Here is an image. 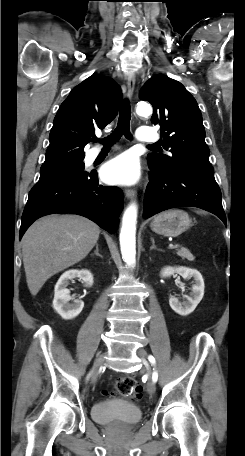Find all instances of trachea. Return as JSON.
Listing matches in <instances>:
<instances>
[{
	"mask_svg": "<svg viewBox=\"0 0 245 456\" xmlns=\"http://www.w3.org/2000/svg\"><path fill=\"white\" fill-rule=\"evenodd\" d=\"M130 119H131L130 104H129V101L127 99H125L120 108L117 127L112 132L111 135H109L107 138H105L103 140V145L106 146V145H112V144L116 143L122 135L131 139L132 136L130 134ZM92 141L96 142L97 138H93Z\"/></svg>",
	"mask_w": 245,
	"mask_h": 456,
	"instance_id": "obj_1",
	"label": "trachea"
}]
</instances>
